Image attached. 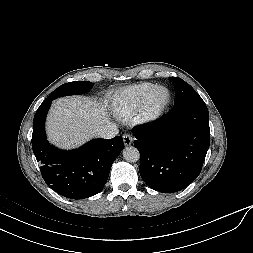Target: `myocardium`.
Segmentation results:
<instances>
[{
    "label": "myocardium",
    "mask_w": 253,
    "mask_h": 253,
    "mask_svg": "<svg viewBox=\"0 0 253 253\" xmlns=\"http://www.w3.org/2000/svg\"><path fill=\"white\" fill-rule=\"evenodd\" d=\"M160 89H163L167 92V98L162 105L158 107H153V96ZM171 102L172 93L169 88L163 85L154 86L144 98L140 109L135 115V121L139 124H152L159 121L168 112Z\"/></svg>",
    "instance_id": "myocardium-1"
}]
</instances>
